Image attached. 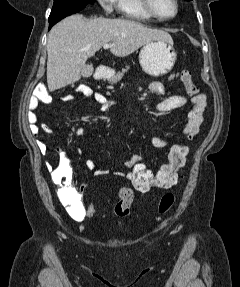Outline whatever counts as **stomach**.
Masks as SVG:
<instances>
[{"label":"stomach","mask_w":240,"mask_h":287,"mask_svg":"<svg viewBox=\"0 0 240 287\" xmlns=\"http://www.w3.org/2000/svg\"><path fill=\"white\" fill-rule=\"evenodd\" d=\"M176 57L173 41L154 40L143 45L139 53V62L144 72L158 77L172 70Z\"/></svg>","instance_id":"stomach-1"}]
</instances>
